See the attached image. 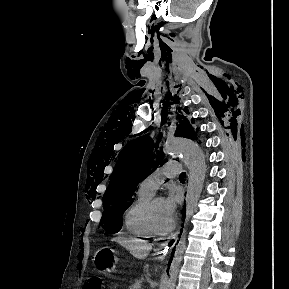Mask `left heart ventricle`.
I'll list each match as a JSON object with an SVG mask.
<instances>
[{"label": "left heart ventricle", "mask_w": 289, "mask_h": 289, "mask_svg": "<svg viewBox=\"0 0 289 289\" xmlns=\"http://www.w3.org/2000/svg\"><path fill=\"white\" fill-rule=\"evenodd\" d=\"M153 217L156 225L160 228H166L170 225L172 220L168 218L165 212L163 199H158L155 201L153 205Z\"/></svg>", "instance_id": "b2bd125f"}]
</instances>
